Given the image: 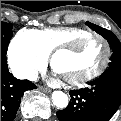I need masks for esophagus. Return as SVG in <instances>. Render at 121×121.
Listing matches in <instances>:
<instances>
[{"label": "esophagus", "mask_w": 121, "mask_h": 121, "mask_svg": "<svg viewBox=\"0 0 121 121\" xmlns=\"http://www.w3.org/2000/svg\"><path fill=\"white\" fill-rule=\"evenodd\" d=\"M39 89H40L41 91L45 92V93H50V92H51L50 89L45 88V87H39Z\"/></svg>", "instance_id": "obj_1"}]
</instances>
